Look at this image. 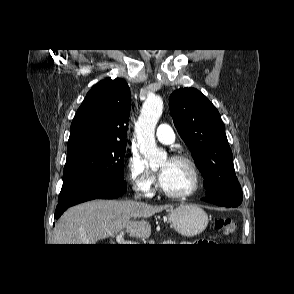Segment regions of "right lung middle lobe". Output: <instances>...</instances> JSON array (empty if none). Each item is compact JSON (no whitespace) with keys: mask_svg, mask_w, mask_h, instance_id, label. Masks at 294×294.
<instances>
[{"mask_svg":"<svg viewBox=\"0 0 294 294\" xmlns=\"http://www.w3.org/2000/svg\"><path fill=\"white\" fill-rule=\"evenodd\" d=\"M126 144L82 141L68 144L62 188L82 180L124 182Z\"/></svg>","mask_w":294,"mask_h":294,"instance_id":"right-lung-middle-lobe-1","label":"right lung middle lobe"}]
</instances>
